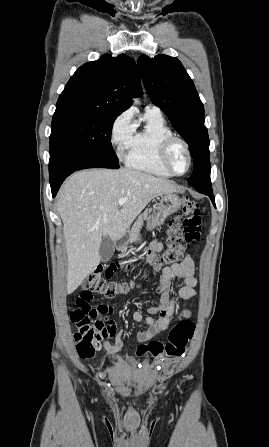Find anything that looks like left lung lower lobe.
I'll return each mask as SVG.
<instances>
[{
    "label": "left lung lower lobe",
    "mask_w": 269,
    "mask_h": 447,
    "mask_svg": "<svg viewBox=\"0 0 269 447\" xmlns=\"http://www.w3.org/2000/svg\"><path fill=\"white\" fill-rule=\"evenodd\" d=\"M194 188H195L197 191H199V192H201V193H204V194L208 195V196L210 197L211 201H212L213 204H214V197L212 196V188H211V185H208V186H194Z\"/></svg>",
    "instance_id": "obj_1"
}]
</instances>
